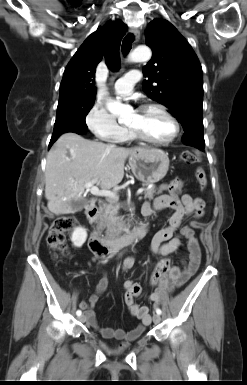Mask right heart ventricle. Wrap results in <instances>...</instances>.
<instances>
[{"instance_id":"obj_1","label":"right heart ventricle","mask_w":247,"mask_h":385,"mask_svg":"<svg viewBox=\"0 0 247 385\" xmlns=\"http://www.w3.org/2000/svg\"><path fill=\"white\" fill-rule=\"evenodd\" d=\"M131 139H133L131 133L126 130L121 140L127 141V140H131Z\"/></svg>"}]
</instances>
